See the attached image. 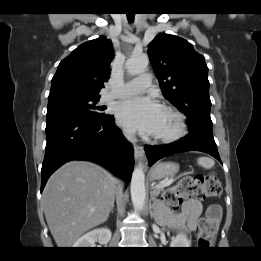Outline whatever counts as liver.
Returning <instances> with one entry per match:
<instances>
[{
  "label": "liver",
  "mask_w": 261,
  "mask_h": 261,
  "mask_svg": "<svg viewBox=\"0 0 261 261\" xmlns=\"http://www.w3.org/2000/svg\"><path fill=\"white\" fill-rule=\"evenodd\" d=\"M116 178L102 167L71 161L48 180L42 203L59 248H69L85 232L104 223L114 205Z\"/></svg>",
  "instance_id": "1"
}]
</instances>
